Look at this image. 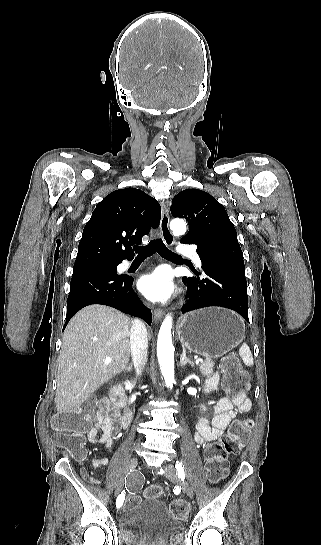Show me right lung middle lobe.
Returning a JSON list of instances; mask_svg holds the SVG:
<instances>
[{
	"mask_svg": "<svg viewBox=\"0 0 321 545\" xmlns=\"http://www.w3.org/2000/svg\"><path fill=\"white\" fill-rule=\"evenodd\" d=\"M98 267H104V268H108V269L115 270V271L117 269V265H103V266H98Z\"/></svg>",
	"mask_w": 321,
	"mask_h": 545,
	"instance_id": "obj_1",
	"label": "right lung middle lobe"
}]
</instances>
